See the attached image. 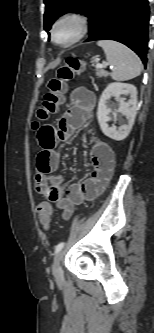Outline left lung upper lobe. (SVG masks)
Segmentation results:
<instances>
[{
  "label": "left lung upper lobe",
  "instance_id": "1",
  "mask_svg": "<svg viewBox=\"0 0 154 333\" xmlns=\"http://www.w3.org/2000/svg\"><path fill=\"white\" fill-rule=\"evenodd\" d=\"M98 0H44V29L49 31L53 22L68 12H83L87 15L92 11Z\"/></svg>",
  "mask_w": 154,
  "mask_h": 333
}]
</instances>
